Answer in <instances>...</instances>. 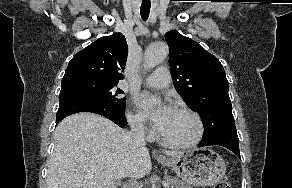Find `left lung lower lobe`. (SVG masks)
Segmentation results:
<instances>
[{
  "label": "left lung lower lobe",
  "instance_id": "0a47b994",
  "mask_svg": "<svg viewBox=\"0 0 292 188\" xmlns=\"http://www.w3.org/2000/svg\"><path fill=\"white\" fill-rule=\"evenodd\" d=\"M219 145L233 151L240 159L239 152V139L237 136L236 128H229L219 131L209 137L204 138L199 147Z\"/></svg>",
  "mask_w": 292,
  "mask_h": 188
}]
</instances>
